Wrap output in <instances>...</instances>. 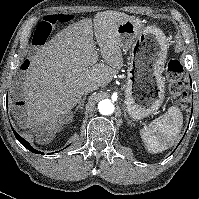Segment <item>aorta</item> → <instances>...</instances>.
Masks as SVG:
<instances>
[{
	"label": "aorta",
	"mask_w": 199,
	"mask_h": 199,
	"mask_svg": "<svg viewBox=\"0 0 199 199\" xmlns=\"http://www.w3.org/2000/svg\"><path fill=\"white\" fill-rule=\"evenodd\" d=\"M98 110L103 115H110L114 112V104L108 100H102L98 104Z\"/></svg>",
	"instance_id": "1"
}]
</instances>
